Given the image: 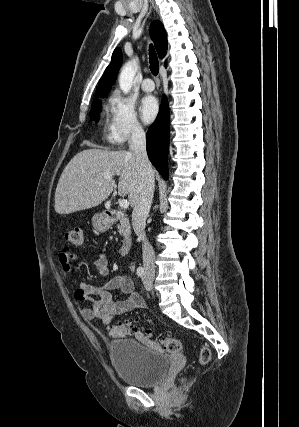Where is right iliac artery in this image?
Segmentation results:
<instances>
[{"label":"right iliac artery","mask_w":299,"mask_h":427,"mask_svg":"<svg viewBox=\"0 0 299 427\" xmlns=\"http://www.w3.org/2000/svg\"><path fill=\"white\" fill-rule=\"evenodd\" d=\"M136 273L139 277H142L144 274V269L142 267H138Z\"/></svg>","instance_id":"obj_1"}]
</instances>
